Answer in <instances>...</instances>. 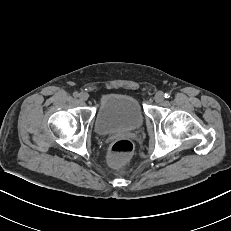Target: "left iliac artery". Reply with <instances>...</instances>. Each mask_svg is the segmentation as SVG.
I'll list each match as a JSON object with an SVG mask.
<instances>
[{
    "instance_id": "44dca946",
    "label": "left iliac artery",
    "mask_w": 231,
    "mask_h": 231,
    "mask_svg": "<svg viewBox=\"0 0 231 231\" xmlns=\"http://www.w3.org/2000/svg\"><path fill=\"white\" fill-rule=\"evenodd\" d=\"M170 95H171L170 93H165L164 97L165 98H170Z\"/></svg>"
}]
</instances>
